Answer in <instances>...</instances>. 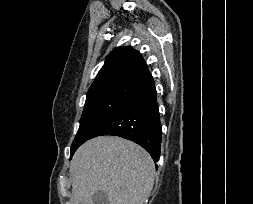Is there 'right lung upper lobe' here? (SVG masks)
<instances>
[{
  "mask_svg": "<svg viewBox=\"0 0 253 204\" xmlns=\"http://www.w3.org/2000/svg\"><path fill=\"white\" fill-rule=\"evenodd\" d=\"M150 72L141 54L132 47H117L105 60L89 90L121 81L139 83Z\"/></svg>",
  "mask_w": 253,
  "mask_h": 204,
  "instance_id": "cb5924a9",
  "label": "right lung upper lobe"
}]
</instances>
